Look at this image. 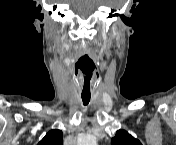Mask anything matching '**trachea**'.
I'll use <instances>...</instances> for the list:
<instances>
[{
	"label": "trachea",
	"instance_id": "1",
	"mask_svg": "<svg viewBox=\"0 0 176 145\" xmlns=\"http://www.w3.org/2000/svg\"><path fill=\"white\" fill-rule=\"evenodd\" d=\"M82 101L84 105H88L91 95H81Z\"/></svg>",
	"mask_w": 176,
	"mask_h": 145
}]
</instances>
